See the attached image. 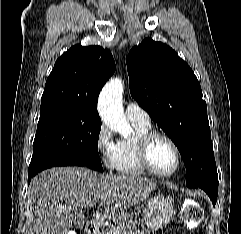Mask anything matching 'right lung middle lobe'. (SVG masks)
Here are the masks:
<instances>
[{
	"label": "right lung middle lobe",
	"mask_w": 241,
	"mask_h": 234,
	"mask_svg": "<svg viewBox=\"0 0 241 234\" xmlns=\"http://www.w3.org/2000/svg\"><path fill=\"white\" fill-rule=\"evenodd\" d=\"M100 130V118L86 115L77 108H40L31 162L46 155L65 154L78 159L84 166L103 172L98 154Z\"/></svg>",
	"instance_id": "dd1d6c3e"
}]
</instances>
